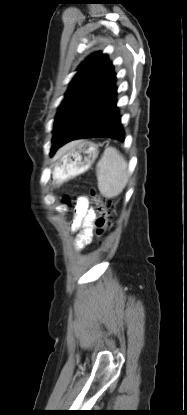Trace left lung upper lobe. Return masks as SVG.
<instances>
[{
    "instance_id": "left-lung-upper-lobe-1",
    "label": "left lung upper lobe",
    "mask_w": 187,
    "mask_h": 415,
    "mask_svg": "<svg viewBox=\"0 0 187 415\" xmlns=\"http://www.w3.org/2000/svg\"><path fill=\"white\" fill-rule=\"evenodd\" d=\"M108 62L107 55L98 52L83 61L77 69L55 118L51 153L58 149L64 133L80 113L92 85Z\"/></svg>"
}]
</instances>
